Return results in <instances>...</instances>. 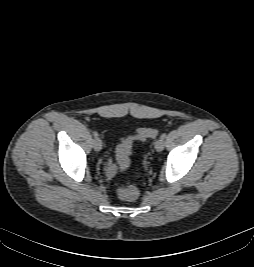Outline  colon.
I'll list each match as a JSON object with an SVG mask.
<instances>
[{"instance_id":"obj_1","label":"colon","mask_w":254,"mask_h":267,"mask_svg":"<svg viewBox=\"0 0 254 267\" xmlns=\"http://www.w3.org/2000/svg\"><path fill=\"white\" fill-rule=\"evenodd\" d=\"M158 134L155 128H140L133 135L124 137L117 147V159L121 169H127L130 165V154L135 141H144L148 138H154ZM119 198L126 201H134L139 196V190L132 185L120 186L117 189Z\"/></svg>"}]
</instances>
